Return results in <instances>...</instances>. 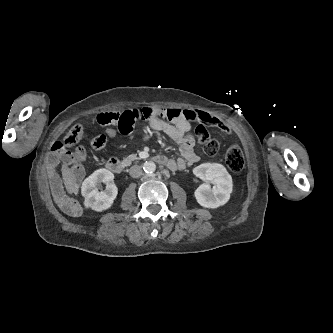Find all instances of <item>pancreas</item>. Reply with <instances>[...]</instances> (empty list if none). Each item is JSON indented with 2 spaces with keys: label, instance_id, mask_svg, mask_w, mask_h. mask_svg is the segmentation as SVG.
Wrapping results in <instances>:
<instances>
[{
  "label": "pancreas",
  "instance_id": "pancreas-1",
  "mask_svg": "<svg viewBox=\"0 0 333 333\" xmlns=\"http://www.w3.org/2000/svg\"><path fill=\"white\" fill-rule=\"evenodd\" d=\"M135 160H139V158L135 154L128 155L127 157L124 158V161H126L127 163H131L132 161Z\"/></svg>",
  "mask_w": 333,
  "mask_h": 333
}]
</instances>
